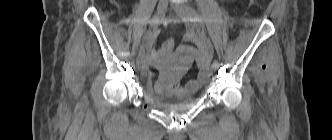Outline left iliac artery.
Segmentation results:
<instances>
[{
	"label": "left iliac artery",
	"mask_w": 332,
	"mask_h": 140,
	"mask_svg": "<svg viewBox=\"0 0 332 140\" xmlns=\"http://www.w3.org/2000/svg\"><path fill=\"white\" fill-rule=\"evenodd\" d=\"M190 11H191V21L194 22L198 27H202V19H201V17L191 7H190ZM213 65H215L218 68L219 67L218 60H214Z\"/></svg>",
	"instance_id": "left-iliac-artery-1"
}]
</instances>
